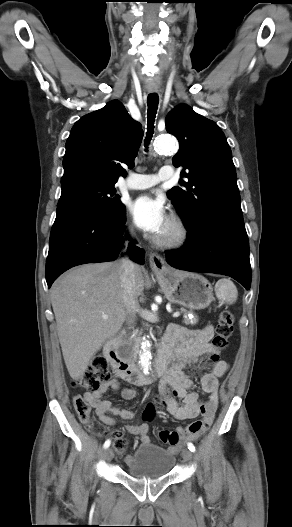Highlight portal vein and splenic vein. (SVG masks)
Returning a JSON list of instances; mask_svg holds the SVG:
<instances>
[{"mask_svg": "<svg viewBox=\"0 0 292 527\" xmlns=\"http://www.w3.org/2000/svg\"><path fill=\"white\" fill-rule=\"evenodd\" d=\"M179 315H180V312H174L173 313V317H178ZM102 318L107 319L108 316L107 315H103Z\"/></svg>", "mask_w": 292, "mask_h": 527, "instance_id": "obj_1", "label": "portal vein and splenic vein"}]
</instances>
